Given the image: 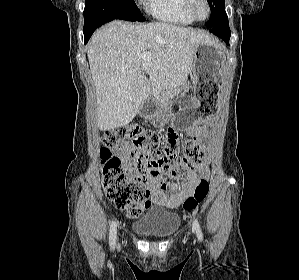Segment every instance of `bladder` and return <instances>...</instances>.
<instances>
[{
	"mask_svg": "<svg viewBox=\"0 0 299 280\" xmlns=\"http://www.w3.org/2000/svg\"><path fill=\"white\" fill-rule=\"evenodd\" d=\"M179 226L180 217L177 213L156 210L137 222L133 230L143 237L162 239L173 235Z\"/></svg>",
	"mask_w": 299,
	"mask_h": 280,
	"instance_id": "1",
	"label": "bladder"
}]
</instances>
